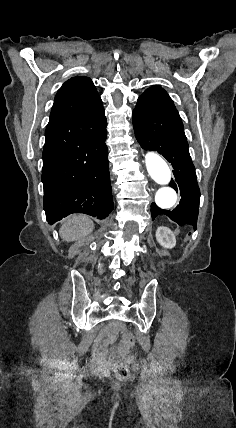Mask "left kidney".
<instances>
[{
	"label": "left kidney",
	"instance_id": "5707ae66",
	"mask_svg": "<svg viewBox=\"0 0 236 428\" xmlns=\"http://www.w3.org/2000/svg\"><path fill=\"white\" fill-rule=\"evenodd\" d=\"M156 240L163 246V248H174L176 246V240L173 232L169 228H163L160 226L156 232Z\"/></svg>",
	"mask_w": 236,
	"mask_h": 428
}]
</instances>
